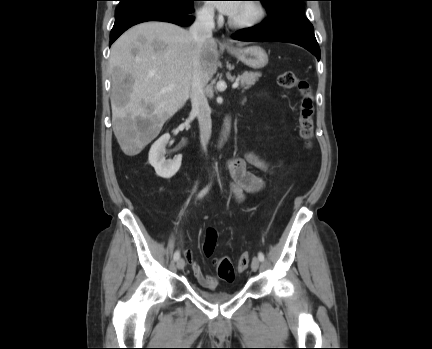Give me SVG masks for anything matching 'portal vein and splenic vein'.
Returning a JSON list of instances; mask_svg holds the SVG:
<instances>
[{"label": "portal vein and splenic vein", "mask_w": 432, "mask_h": 349, "mask_svg": "<svg viewBox=\"0 0 432 349\" xmlns=\"http://www.w3.org/2000/svg\"><path fill=\"white\" fill-rule=\"evenodd\" d=\"M238 86H239V82L236 81V82L233 83L232 88L235 89V88H237ZM172 87H173V86H170V87L166 88L165 90H170Z\"/></svg>", "instance_id": "obj_1"}]
</instances>
